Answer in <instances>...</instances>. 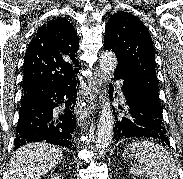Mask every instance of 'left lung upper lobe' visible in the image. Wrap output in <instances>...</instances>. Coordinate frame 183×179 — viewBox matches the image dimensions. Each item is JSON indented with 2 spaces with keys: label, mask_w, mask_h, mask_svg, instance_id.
<instances>
[{
  "label": "left lung upper lobe",
  "mask_w": 183,
  "mask_h": 179,
  "mask_svg": "<svg viewBox=\"0 0 183 179\" xmlns=\"http://www.w3.org/2000/svg\"><path fill=\"white\" fill-rule=\"evenodd\" d=\"M104 47L114 51L117 56L115 72L127 76L147 104L161 114L154 48L145 25L130 13H114L105 27Z\"/></svg>",
  "instance_id": "left-lung-upper-lobe-1"
}]
</instances>
